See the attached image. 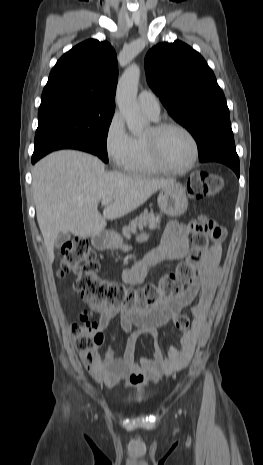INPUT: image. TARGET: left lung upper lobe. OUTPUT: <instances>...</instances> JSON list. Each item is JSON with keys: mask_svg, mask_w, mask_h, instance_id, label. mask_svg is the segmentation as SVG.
<instances>
[{"mask_svg": "<svg viewBox=\"0 0 263 465\" xmlns=\"http://www.w3.org/2000/svg\"><path fill=\"white\" fill-rule=\"evenodd\" d=\"M145 69L169 114L195 138L200 159L235 146L225 96L197 51L179 40L160 43L148 51Z\"/></svg>", "mask_w": 263, "mask_h": 465, "instance_id": "5c2ea615", "label": "left lung upper lobe"}]
</instances>
